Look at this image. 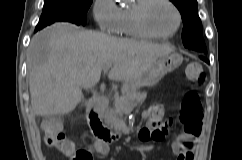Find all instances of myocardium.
<instances>
[{
	"label": "myocardium",
	"instance_id": "obj_1",
	"mask_svg": "<svg viewBox=\"0 0 242 160\" xmlns=\"http://www.w3.org/2000/svg\"><path fill=\"white\" fill-rule=\"evenodd\" d=\"M154 0H137V2L131 8L132 22L137 31L143 36L151 39H169L175 36L180 30L182 24V14L177 5L172 0H163L172 7L177 16V25L175 29L169 34H157L152 32L145 21V11L150 3Z\"/></svg>",
	"mask_w": 242,
	"mask_h": 160
}]
</instances>
